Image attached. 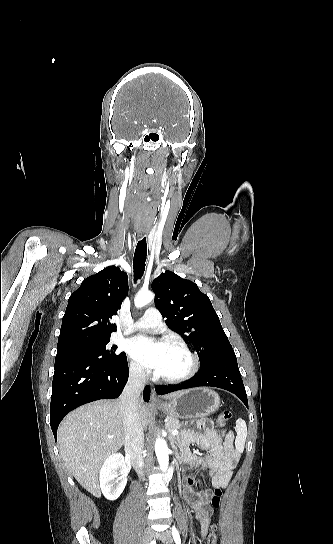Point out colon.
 Wrapping results in <instances>:
<instances>
[{
	"instance_id": "colon-1",
	"label": "colon",
	"mask_w": 333,
	"mask_h": 544,
	"mask_svg": "<svg viewBox=\"0 0 333 544\" xmlns=\"http://www.w3.org/2000/svg\"><path fill=\"white\" fill-rule=\"evenodd\" d=\"M232 413L229 410H224L221 412L217 418V427L222 428L226 425V423L231 419ZM222 497V490L221 488H216L212 497H211V504L214 508H218L220 506ZM207 544H217V536H216V527L212 526L211 531L208 534L207 537Z\"/></svg>"
}]
</instances>
